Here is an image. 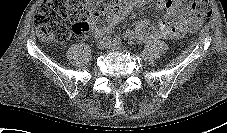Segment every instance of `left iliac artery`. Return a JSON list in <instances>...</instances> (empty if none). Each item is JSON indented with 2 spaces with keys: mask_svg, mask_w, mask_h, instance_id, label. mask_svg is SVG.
I'll use <instances>...</instances> for the list:
<instances>
[{
  "mask_svg": "<svg viewBox=\"0 0 227 133\" xmlns=\"http://www.w3.org/2000/svg\"><path fill=\"white\" fill-rule=\"evenodd\" d=\"M113 43L115 45H121L122 44V39L120 38V36H116L113 40Z\"/></svg>",
  "mask_w": 227,
  "mask_h": 133,
  "instance_id": "1",
  "label": "left iliac artery"
}]
</instances>
